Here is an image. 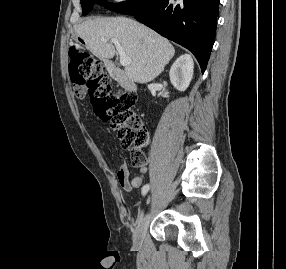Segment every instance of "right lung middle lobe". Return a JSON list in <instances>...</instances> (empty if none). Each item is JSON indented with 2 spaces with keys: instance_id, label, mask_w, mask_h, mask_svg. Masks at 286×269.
I'll use <instances>...</instances> for the list:
<instances>
[{
  "instance_id": "1",
  "label": "right lung middle lobe",
  "mask_w": 286,
  "mask_h": 269,
  "mask_svg": "<svg viewBox=\"0 0 286 269\" xmlns=\"http://www.w3.org/2000/svg\"><path fill=\"white\" fill-rule=\"evenodd\" d=\"M156 2L157 0H129L115 5H108L104 0H81L82 15L88 14L96 3H103L110 10L122 14L134 15L151 8Z\"/></svg>"
}]
</instances>
